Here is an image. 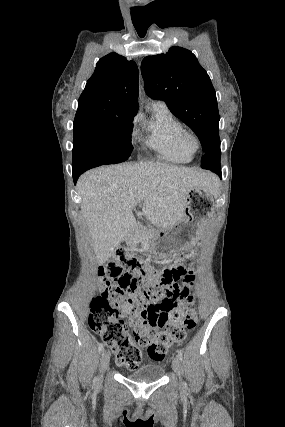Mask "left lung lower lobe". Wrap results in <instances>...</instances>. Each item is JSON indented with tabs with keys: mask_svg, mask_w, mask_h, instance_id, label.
<instances>
[{
	"mask_svg": "<svg viewBox=\"0 0 285 427\" xmlns=\"http://www.w3.org/2000/svg\"><path fill=\"white\" fill-rule=\"evenodd\" d=\"M217 174L221 176V168L217 169Z\"/></svg>",
	"mask_w": 285,
	"mask_h": 427,
	"instance_id": "1",
	"label": "left lung lower lobe"
}]
</instances>
